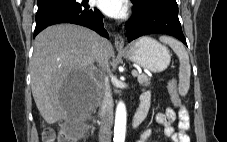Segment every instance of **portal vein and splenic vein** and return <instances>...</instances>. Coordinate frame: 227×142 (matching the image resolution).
<instances>
[{
	"instance_id": "1",
	"label": "portal vein and splenic vein",
	"mask_w": 227,
	"mask_h": 142,
	"mask_svg": "<svg viewBox=\"0 0 227 142\" xmlns=\"http://www.w3.org/2000/svg\"><path fill=\"white\" fill-rule=\"evenodd\" d=\"M132 76H133V77H137V76H138V72H137V71H135V70H134V71H132Z\"/></svg>"
}]
</instances>
